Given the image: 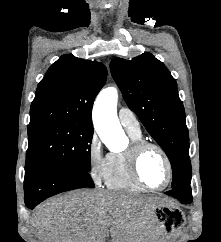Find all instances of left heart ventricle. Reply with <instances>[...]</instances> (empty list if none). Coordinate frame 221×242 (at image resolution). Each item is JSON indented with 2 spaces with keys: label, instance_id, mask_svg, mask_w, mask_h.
<instances>
[{
  "label": "left heart ventricle",
  "instance_id": "1",
  "mask_svg": "<svg viewBox=\"0 0 221 242\" xmlns=\"http://www.w3.org/2000/svg\"><path fill=\"white\" fill-rule=\"evenodd\" d=\"M140 173L151 187H161L167 180V167L162 155L156 149H148L140 161Z\"/></svg>",
  "mask_w": 221,
  "mask_h": 242
}]
</instances>
